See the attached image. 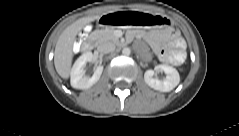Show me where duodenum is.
Instances as JSON below:
<instances>
[{
    "instance_id": "duodenum-1",
    "label": "duodenum",
    "mask_w": 239,
    "mask_h": 136,
    "mask_svg": "<svg viewBox=\"0 0 239 136\" xmlns=\"http://www.w3.org/2000/svg\"><path fill=\"white\" fill-rule=\"evenodd\" d=\"M75 46L82 49L85 52H88L92 49L93 47V42L90 40L85 41V36H79L77 40L75 41Z\"/></svg>"
}]
</instances>
